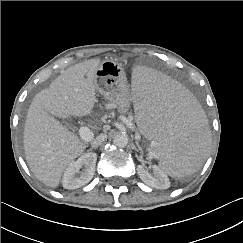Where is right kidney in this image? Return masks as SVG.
I'll list each match as a JSON object with an SVG mask.
<instances>
[{
	"label": "right kidney",
	"instance_id": "right-kidney-1",
	"mask_svg": "<svg viewBox=\"0 0 243 243\" xmlns=\"http://www.w3.org/2000/svg\"><path fill=\"white\" fill-rule=\"evenodd\" d=\"M97 155L93 152L83 154L76 161L72 162L66 169L62 185L65 189L80 188L91 181L95 171ZM84 166L82 172L80 169ZM80 173L79 176L76 174Z\"/></svg>",
	"mask_w": 243,
	"mask_h": 243
}]
</instances>
